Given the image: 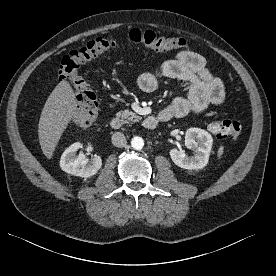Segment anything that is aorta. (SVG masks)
<instances>
[{
  "label": "aorta",
  "instance_id": "762f6f07",
  "mask_svg": "<svg viewBox=\"0 0 276 276\" xmlns=\"http://www.w3.org/2000/svg\"><path fill=\"white\" fill-rule=\"evenodd\" d=\"M131 146L135 150H141L144 146V140L141 137L135 136L131 140Z\"/></svg>",
  "mask_w": 276,
  "mask_h": 276
}]
</instances>
